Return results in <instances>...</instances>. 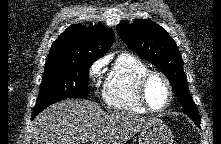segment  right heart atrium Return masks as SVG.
Returning a JSON list of instances; mask_svg holds the SVG:
<instances>
[{
	"mask_svg": "<svg viewBox=\"0 0 221 144\" xmlns=\"http://www.w3.org/2000/svg\"><path fill=\"white\" fill-rule=\"evenodd\" d=\"M104 67L103 60H97L94 62L89 69V77L92 81H96L100 76L102 69Z\"/></svg>",
	"mask_w": 221,
	"mask_h": 144,
	"instance_id": "1",
	"label": "right heart atrium"
}]
</instances>
